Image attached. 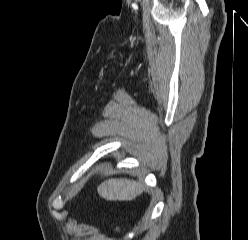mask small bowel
<instances>
[{
  "label": "small bowel",
  "mask_w": 248,
  "mask_h": 240,
  "mask_svg": "<svg viewBox=\"0 0 248 240\" xmlns=\"http://www.w3.org/2000/svg\"><path fill=\"white\" fill-rule=\"evenodd\" d=\"M116 231H117V232H119V231H120V229H119V228H117V229H116ZM107 240H112V239H107Z\"/></svg>",
  "instance_id": "1"
}]
</instances>
